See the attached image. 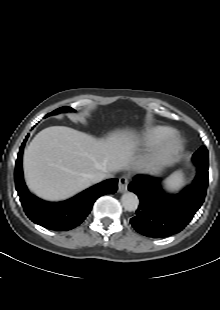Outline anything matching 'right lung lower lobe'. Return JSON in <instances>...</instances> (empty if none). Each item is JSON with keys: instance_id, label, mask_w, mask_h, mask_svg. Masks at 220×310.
Masks as SVG:
<instances>
[{"instance_id": "right-lung-lower-lobe-1", "label": "right lung lower lobe", "mask_w": 220, "mask_h": 310, "mask_svg": "<svg viewBox=\"0 0 220 310\" xmlns=\"http://www.w3.org/2000/svg\"><path fill=\"white\" fill-rule=\"evenodd\" d=\"M26 139L16 161L15 186L26 215L34 223L55 231L71 230L84 221L97 198L116 192L118 180L108 179L67 201L50 203L37 198L28 191L23 179L22 153Z\"/></svg>"}]
</instances>
